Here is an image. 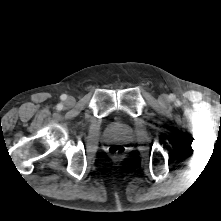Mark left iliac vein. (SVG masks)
<instances>
[{"mask_svg": "<svg viewBox=\"0 0 221 221\" xmlns=\"http://www.w3.org/2000/svg\"><path fill=\"white\" fill-rule=\"evenodd\" d=\"M169 101V98L167 95L165 94H162L160 97H159V102L162 103V104H165Z\"/></svg>", "mask_w": 221, "mask_h": 221, "instance_id": "1", "label": "left iliac vein"}]
</instances>
